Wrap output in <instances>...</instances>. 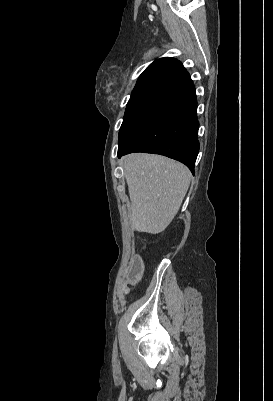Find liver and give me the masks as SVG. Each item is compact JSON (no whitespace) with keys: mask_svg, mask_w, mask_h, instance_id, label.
I'll use <instances>...</instances> for the list:
<instances>
[{"mask_svg":"<svg viewBox=\"0 0 273 401\" xmlns=\"http://www.w3.org/2000/svg\"><path fill=\"white\" fill-rule=\"evenodd\" d=\"M124 174L131 201V227L162 233L177 215L190 184V170L160 154H127Z\"/></svg>","mask_w":273,"mask_h":401,"instance_id":"1","label":"liver"}]
</instances>
